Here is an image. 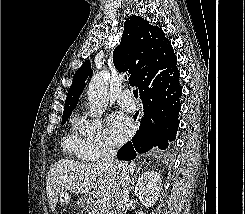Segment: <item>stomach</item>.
Returning a JSON list of instances; mask_svg holds the SVG:
<instances>
[{"label": "stomach", "instance_id": "obj_1", "mask_svg": "<svg viewBox=\"0 0 245 214\" xmlns=\"http://www.w3.org/2000/svg\"><path fill=\"white\" fill-rule=\"evenodd\" d=\"M70 197L71 196L69 195V193L67 191H61L60 196H59L60 204L62 206L67 205L69 203ZM77 205L79 207L85 208V207H87L88 202H87V200L85 198L84 199L83 198H80L77 201Z\"/></svg>", "mask_w": 245, "mask_h": 214}]
</instances>
